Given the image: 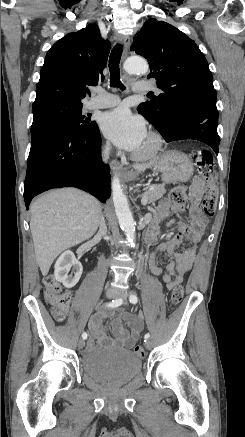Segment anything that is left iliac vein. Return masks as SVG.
Segmentation results:
<instances>
[{
	"label": "left iliac vein",
	"instance_id": "4c4485c4",
	"mask_svg": "<svg viewBox=\"0 0 245 437\" xmlns=\"http://www.w3.org/2000/svg\"><path fill=\"white\" fill-rule=\"evenodd\" d=\"M119 297L122 298V299H124V300H125V304H127V302H126V299H127V293H126V292H122V293H120V294H119ZM151 346H152L151 342L147 340V341L145 342V347H146L147 349H150Z\"/></svg>",
	"mask_w": 245,
	"mask_h": 437
}]
</instances>
